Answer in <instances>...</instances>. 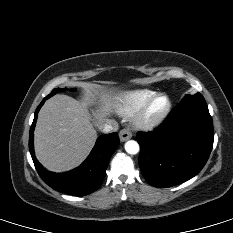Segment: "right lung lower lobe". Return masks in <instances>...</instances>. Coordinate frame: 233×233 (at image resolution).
<instances>
[{
    "mask_svg": "<svg viewBox=\"0 0 233 233\" xmlns=\"http://www.w3.org/2000/svg\"><path fill=\"white\" fill-rule=\"evenodd\" d=\"M46 99L48 98L45 97L37 107L30 128L29 150L35 168L42 180L54 190L74 196L88 195L103 182L109 160L120 143L118 134L110 133L99 137L91 154L80 167L62 174L49 172L37 161L33 148V131L38 111Z\"/></svg>",
    "mask_w": 233,
    "mask_h": 233,
    "instance_id": "1",
    "label": "right lung lower lobe"
}]
</instances>
